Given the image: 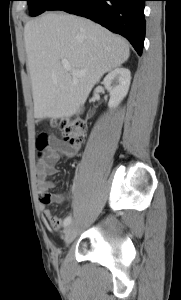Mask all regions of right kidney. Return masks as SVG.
Returning a JSON list of instances; mask_svg holds the SVG:
<instances>
[{"label": "right kidney", "mask_w": 181, "mask_h": 300, "mask_svg": "<svg viewBox=\"0 0 181 300\" xmlns=\"http://www.w3.org/2000/svg\"><path fill=\"white\" fill-rule=\"evenodd\" d=\"M131 81V73L126 68H116L110 71L103 84L110 93L109 108L117 107L127 95Z\"/></svg>", "instance_id": "right-kidney-1"}]
</instances>
